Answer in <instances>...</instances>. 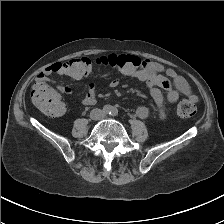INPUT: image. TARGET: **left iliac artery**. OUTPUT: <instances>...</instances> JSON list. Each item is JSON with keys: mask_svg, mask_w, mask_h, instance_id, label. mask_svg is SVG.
Instances as JSON below:
<instances>
[{"mask_svg": "<svg viewBox=\"0 0 224 224\" xmlns=\"http://www.w3.org/2000/svg\"><path fill=\"white\" fill-rule=\"evenodd\" d=\"M112 116H117L118 115V110L116 108H112V111L110 113Z\"/></svg>", "mask_w": 224, "mask_h": 224, "instance_id": "44dca946", "label": "left iliac artery"}]
</instances>
